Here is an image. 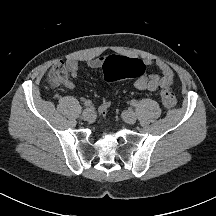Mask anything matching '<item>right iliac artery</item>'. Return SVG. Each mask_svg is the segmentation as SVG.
Returning <instances> with one entry per match:
<instances>
[{"label":"right iliac artery","instance_id":"obj_1","mask_svg":"<svg viewBox=\"0 0 216 216\" xmlns=\"http://www.w3.org/2000/svg\"><path fill=\"white\" fill-rule=\"evenodd\" d=\"M84 106H86V107H91V106H92V101L86 100V101L84 102Z\"/></svg>","mask_w":216,"mask_h":216}]
</instances>
